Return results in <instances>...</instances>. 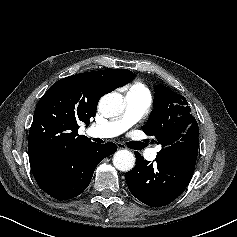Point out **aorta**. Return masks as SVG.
<instances>
[{
  "mask_svg": "<svg viewBox=\"0 0 237 237\" xmlns=\"http://www.w3.org/2000/svg\"><path fill=\"white\" fill-rule=\"evenodd\" d=\"M98 106L105 116L113 117L124 111L125 102L121 94L111 92L101 97ZM113 165L120 171H130L135 165V156L128 150H119L113 156Z\"/></svg>",
  "mask_w": 237,
  "mask_h": 237,
  "instance_id": "aorta-1",
  "label": "aorta"
}]
</instances>
